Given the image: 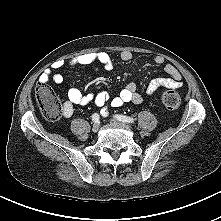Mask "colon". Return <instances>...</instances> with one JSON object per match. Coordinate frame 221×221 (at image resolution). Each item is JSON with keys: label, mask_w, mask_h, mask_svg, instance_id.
I'll return each instance as SVG.
<instances>
[{"label": "colon", "mask_w": 221, "mask_h": 221, "mask_svg": "<svg viewBox=\"0 0 221 221\" xmlns=\"http://www.w3.org/2000/svg\"><path fill=\"white\" fill-rule=\"evenodd\" d=\"M35 98L39 104L42 114L49 120H58L63 108L47 83L39 82L35 87ZM161 101L168 110H176L181 104L178 93L166 90L161 95Z\"/></svg>", "instance_id": "1"}]
</instances>
